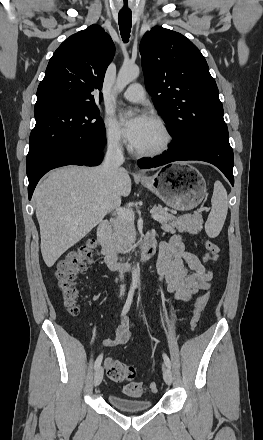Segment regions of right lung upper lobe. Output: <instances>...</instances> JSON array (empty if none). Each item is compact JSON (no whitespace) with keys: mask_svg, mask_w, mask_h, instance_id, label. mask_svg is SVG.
I'll return each instance as SVG.
<instances>
[{"mask_svg":"<svg viewBox=\"0 0 263 440\" xmlns=\"http://www.w3.org/2000/svg\"><path fill=\"white\" fill-rule=\"evenodd\" d=\"M114 53L111 37L98 25L70 36L48 63L37 90L35 108L95 105L92 93L102 89ZM99 99H102L101 92Z\"/></svg>","mask_w":263,"mask_h":440,"instance_id":"right-lung-upper-lobe-1","label":"right lung upper lobe"}]
</instances>
